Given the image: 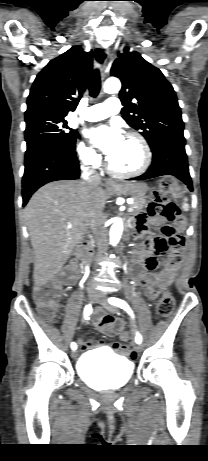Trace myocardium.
Returning a JSON list of instances; mask_svg holds the SVG:
<instances>
[{"label":"myocardium","instance_id":"f54148a6","mask_svg":"<svg viewBox=\"0 0 208 461\" xmlns=\"http://www.w3.org/2000/svg\"><path fill=\"white\" fill-rule=\"evenodd\" d=\"M125 137L127 138H133L135 139L141 149H142V153H143V162L141 164V166L139 168H137L136 170L134 171H120V170H117L115 169L109 158L107 159V170L115 175V176H118V177H125V178H131V177H137V176H140L141 174H143L144 172L147 171V169L149 168L150 164H151V160H152V153H151V149H150V146L147 142V140L145 139V137L143 135H141L140 133L138 132H135V131H129L125 134Z\"/></svg>","mask_w":208,"mask_h":461}]
</instances>
